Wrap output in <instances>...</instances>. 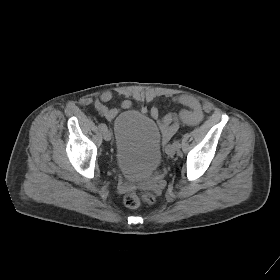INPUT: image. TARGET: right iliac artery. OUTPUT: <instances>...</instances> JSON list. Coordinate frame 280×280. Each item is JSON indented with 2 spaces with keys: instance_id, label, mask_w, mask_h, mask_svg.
I'll return each mask as SVG.
<instances>
[{
  "instance_id": "82829eb1",
  "label": "right iliac artery",
  "mask_w": 280,
  "mask_h": 280,
  "mask_svg": "<svg viewBox=\"0 0 280 280\" xmlns=\"http://www.w3.org/2000/svg\"><path fill=\"white\" fill-rule=\"evenodd\" d=\"M98 127H99V129L102 130V131H104V130L107 129V126H106L104 123L99 124Z\"/></svg>"
}]
</instances>
